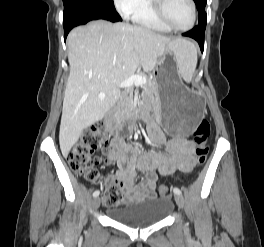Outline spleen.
Instances as JSON below:
<instances>
[{
	"instance_id": "3e777b00",
	"label": "spleen",
	"mask_w": 264,
	"mask_h": 247,
	"mask_svg": "<svg viewBox=\"0 0 264 247\" xmlns=\"http://www.w3.org/2000/svg\"><path fill=\"white\" fill-rule=\"evenodd\" d=\"M173 52L179 73L187 83L191 82L197 65L196 46L189 41L178 39Z\"/></svg>"
}]
</instances>
